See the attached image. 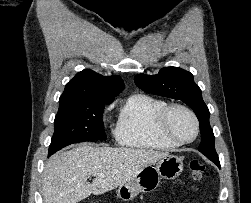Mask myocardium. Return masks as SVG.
Instances as JSON below:
<instances>
[{"label": "myocardium", "mask_w": 251, "mask_h": 203, "mask_svg": "<svg viewBox=\"0 0 251 203\" xmlns=\"http://www.w3.org/2000/svg\"><path fill=\"white\" fill-rule=\"evenodd\" d=\"M174 109L184 110L193 119L194 124H195V132L191 138L186 139V140L179 139L169 131V127H168L169 117ZM156 130H157L158 134L162 138H164L165 140H167L171 143H174L176 145H186V144L192 143L198 137L199 132H200V122H199V119H198L196 113L191 108H189L188 106L181 104V103H172V104L167 105L159 113L157 120H156Z\"/></svg>", "instance_id": "1"}]
</instances>
